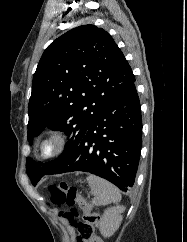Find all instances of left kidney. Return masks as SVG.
<instances>
[{
	"label": "left kidney",
	"mask_w": 187,
	"mask_h": 242,
	"mask_svg": "<svg viewBox=\"0 0 187 242\" xmlns=\"http://www.w3.org/2000/svg\"><path fill=\"white\" fill-rule=\"evenodd\" d=\"M125 210L123 206H116L108 208L103 217L100 220V232L104 237H110L114 234V232L119 228L122 215Z\"/></svg>",
	"instance_id": "1"
}]
</instances>
